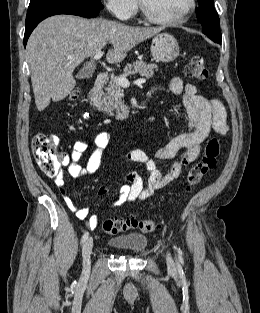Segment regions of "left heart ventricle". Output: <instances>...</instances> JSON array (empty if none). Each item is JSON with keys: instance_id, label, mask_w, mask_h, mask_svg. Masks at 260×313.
<instances>
[{"instance_id": "1", "label": "left heart ventricle", "mask_w": 260, "mask_h": 313, "mask_svg": "<svg viewBox=\"0 0 260 313\" xmlns=\"http://www.w3.org/2000/svg\"><path fill=\"white\" fill-rule=\"evenodd\" d=\"M147 8L161 18H171L182 13L189 0H143Z\"/></svg>"}]
</instances>
